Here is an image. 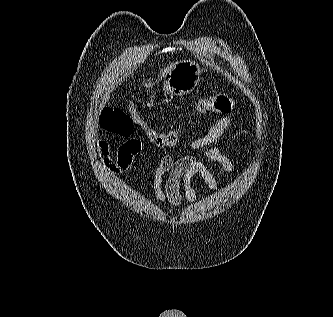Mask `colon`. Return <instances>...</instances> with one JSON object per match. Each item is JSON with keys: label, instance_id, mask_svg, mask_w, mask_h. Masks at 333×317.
<instances>
[{"label": "colon", "instance_id": "5ec220e1", "mask_svg": "<svg viewBox=\"0 0 333 317\" xmlns=\"http://www.w3.org/2000/svg\"><path fill=\"white\" fill-rule=\"evenodd\" d=\"M234 99L228 93H219L197 101L193 111L196 114H229L233 108ZM135 125L145 129L150 141L161 149H172L179 143L178 131L161 132L149 128L139 115L134 104L127 109L106 107L100 115V126L117 136L128 137L133 133Z\"/></svg>", "mask_w": 333, "mask_h": 317}]
</instances>
